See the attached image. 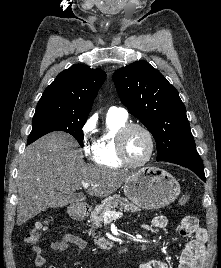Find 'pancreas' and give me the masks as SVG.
Returning a JSON list of instances; mask_svg holds the SVG:
<instances>
[{
	"label": "pancreas",
	"mask_w": 221,
	"mask_h": 268,
	"mask_svg": "<svg viewBox=\"0 0 221 268\" xmlns=\"http://www.w3.org/2000/svg\"><path fill=\"white\" fill-rule=\"evenodd\" d=\"M114 208L124 209L125 211L137 212L140 211V208L135 206L133 203H130L126 198L121 197L120 195L110 196L102 201V203L91 212L90 220L92 222V229L90 230V235L94 238V243L99 246L101 249H107L109 242L105 238H98L95 236L94 231L102 226L103 222V213L106 210H111Z\"/></svg>",
	"instance_id": "cf45deb5"
}]
</instances>
